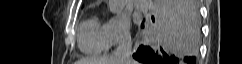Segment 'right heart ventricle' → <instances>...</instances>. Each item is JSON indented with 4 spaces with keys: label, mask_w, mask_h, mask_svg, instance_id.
Masks as SVG:
<instances>
[{
    "label": "right heart ventricle",
    "mask_w": 242,
    "mask_h": 64,
    "mask_svg": "<svg viewBox=\"0 0 242 64\" xmlns=\"http://www.w3.org/2000/svg\"><path fill=\"white\" fill-rule=\"evenodd\" d=\"M78 46L86 55H99L108 50L109 42L104 25L96 15L81 23L78 30Z\"/></svg>",
    "instance_id": "obj_1"
}]
</instances>
